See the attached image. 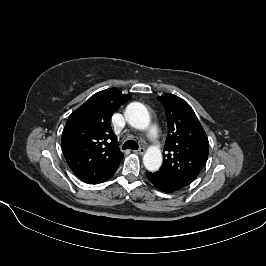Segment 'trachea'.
Instances as JSON below:
<instances>
[{
    "label": "trachea",
    "mask_w": 266,
    "mask_h": 266,
    "mask_svg": "<svg viewBox=\"0 0 266 266\" xmlns=\"http://www.w3.org/2000/svg\"><path fill=\"white\" fill-rule=\"evenodd\" d=\"M138 143L134 140H128L123 144V149H132L137 150L138 149Z\"/></svg>",
    "instance_id": "trachea-1"
}]
</instances>
